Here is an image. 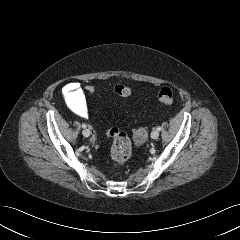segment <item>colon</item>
I'll use <instances>...</instances> for the list:
<instances>
[{
    "label": "colon",
    "instance_id": "colon-1",
    "mask_svg": "<svg viewBox=\"0 0 240 240\" xmlns=\"http://www.w3.org/2000/svg\"><path fill=\"white\" fill-rule=\"evenodd\" d=\"M95 86L88 84L84 87L85 93L92 95L95 93ZM116 95L120 97H129L132 93L131 89L123 84L116 85L114 88ZM158 101L165 105H172L174 102L173 90L169 87H163L158 93ZM109 137L113 139L111 148V157L114 165L118 166L125 163L131 156L132 146L128 136L118 128H110L107 131Z\"/></svg>",
    "mask_w": 240,
    "mask_h": 240
}]
</instances>
